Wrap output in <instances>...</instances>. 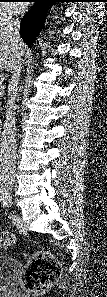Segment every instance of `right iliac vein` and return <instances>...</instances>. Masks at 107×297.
Returning a JSON list of instances; mask_svg holds the SVG:
<instances>
[{
  "mask_svg": "<svg viewBox=\"0 0 107 297\" xmlns=\"http://www.w3.org/2000/svg\"><path fill=\"white\" fill-rule=\"evenodd\" d=\"M7 200H8V201H12V197H11V195H8V196H7Z\"/></svg>",
  "mask_w": 107,
  "mask_h": 297,
  "instance_id": "obj_1",
  "label": "right iliac vein"
}]
</instances>
